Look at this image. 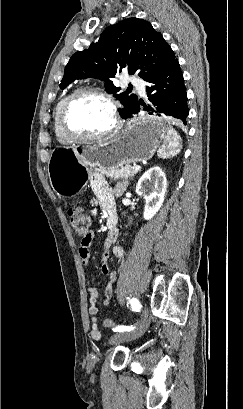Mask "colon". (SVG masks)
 <instances>
[{
  "label": "colon",
  "mask_w": 243,
  "mask_h": 409,
  "mask_svg": "<svg viewBox=\"0 0 243 409\" xmlns=\"http://www.w3.org/2000/svg\"><path fill=\"white\" fill-rule=\"evenodd\" d=\"M68 215L75 232L84 238L88 234L90 223L89 217L85 214L82 208L78 206L70 207L68 210ZM103 325L109 329H113L115 327V323L111 319H105L103 321Z\"/></svg>",
  "instance_id": "colon-1"
}]
</instances>
